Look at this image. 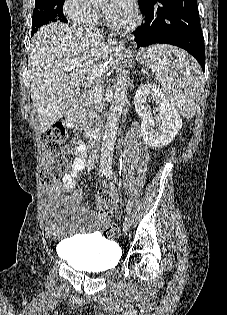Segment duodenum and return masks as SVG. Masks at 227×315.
Wrapping results in <instances>:
<instances>
[{
	"label": "duodenum",
	"instance_id": "obj_1",
	"mask_svg": "<svg viewBox=\"0 0 227 315\" xmlns=\"http://www.w3.org/2000/svg\"><path fill=\"white\" fill-rule=\"evenodd\" d=\"M67 120L70 124H73L75 122V116L73 113H70L67 115ZM97 135H89V142L92 144H95L97 142Z\"/></svg>",
	"mask_w": 227,
	"mask_h": 315
}]
</instances>
